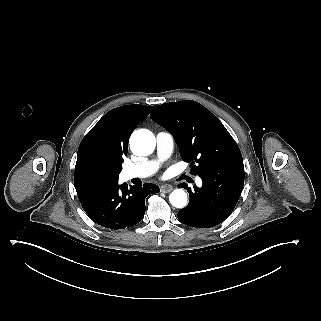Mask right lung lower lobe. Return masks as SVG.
I'll list each match as a JSON object with an SVG mask.
<instances>
[{
    "label": "right lung lower lobe",
    "instance_id": "obj_1",
    "mask_svg": "<svg viewBox=\"0 0 321 321\" xmlns=\"http://www.w3.org/2000/svg\"><path fill=\"white\" fill-rule=\"evenodd\" d=\"M80 203L97 224L118 230L140 222L145 213V198L158 193L159 187L146 183L143 187L115 182H90L75 187Z\"/></svg>",
    "mask_w": 321,
    "mask_h": 321
}]
</instances>
